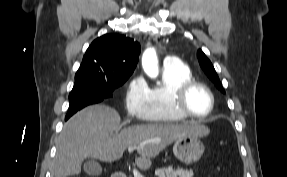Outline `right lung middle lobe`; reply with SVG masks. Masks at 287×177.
<instances>
[{
	"mask_svg": "<svg viewBox=\"0 0 287 177\" xmlns=\"http://www.w3.org/2000/svg\"><path fill=\"white\" fill-rule=\"evenodd\" d=\"M128 78L120 79L112 83L102 81V79L86 70L79 69L75 75V83L69 94V100L83 96H97L102 99L110 98L112 92L123 85Z\"/></svg>",
	"mask_w": 287,
	"mask_h": 177,
	"instance_id": "dd1d6c3e",
	"label": "right lung middle lobe"
}]
</instances>
